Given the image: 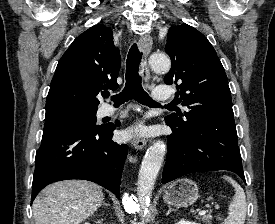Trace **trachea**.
<instances>
[{"label": "trachea", "mask_w": 275, "mask_h": 224, "mask_svg": "<svg viewBox=\"0 0 275 224\" xmlns=\"http://www.w3.org/2000/svg\"><path fill=\"white\" fill-rule=\"evenodd\" d=\"M141 58L142 53L139 51L137 44L134 43L131 46L127 56L125 87L121 93L111 97L116 106H119L131 99H134L138 103L148 105L150 107H156L160 105L153 101L142 87L141 76L139 75V65ZM105 97H108V94H106Z\"/></svg>", "instance_id": "3493384b"}]
</instances>
